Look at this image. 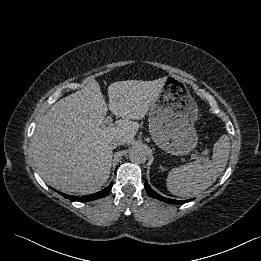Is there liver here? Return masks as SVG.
Masks as SVG:
<instances>
[{"label":"liver","mask_w":261,"mask_h":261,"mask_svg":"<svg viewBox=\"0 0 261 261\" xmlns=\"http://www.w3.org/2000/svg\"><path fill=\"white\" fill-rule=\"evenodd\" d=\"M165 79L127 80L109 85V105L93 78L85 87L56 102L40 119L32 138V154L42 179L65 193L86 195L107 182L112 166L111 141L131 144ZM109 110L117 117L106 125Z\"/></svg>","instance_id":"obj_1"}]
</instances>
